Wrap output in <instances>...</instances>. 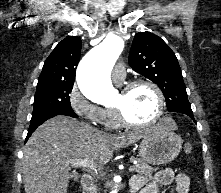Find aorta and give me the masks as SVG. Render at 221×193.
<instances>
[{
  "mask_svg": "<svg viewBox=\"0 0 221 193\" xmlns=\"http://www.w3.org/2000/svg\"><path fill=\"white\" fill-rule=\"evenodd\" d=\"M123 50V41L112 35L89 51L77 69V83L91 101L105 104L116 95L110 80V70ZM117 189L110 193H117Z\"/></svg>",
  "mask_w": 221,
  "mask_h": 193,
  "instance_id": "obj_1",
  "label": "aorta"
}]
</instances>
